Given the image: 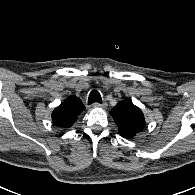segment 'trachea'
Masks as SVG:
<instances>
[{
	"instance_id": "obj_1",
	"label": "trachea",
	"mask_w": 195,
	"mask_h": 195,
	"mask_svg": "<svg viewBox=\"0 0 195 195\" xmlns=\"http://www.w3.org/2000/svg\"><path fill=\"white\" fill-rule=\"evenodd\" d=\"M93 103H102L101 95L96 90H92L88 97V104L90 105Z\"/></svg>"
}]
</instances>
